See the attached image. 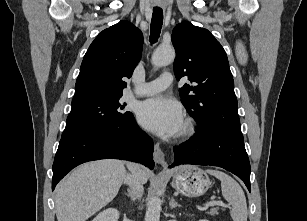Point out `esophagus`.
Returning <instances> with one entry per match:
<instances>
[{"label":"esophagus","mask_w":307,"mask_h":221,"mask_svg":"<svg viewBox=\"0 0 307 221\" xmlns=\"http://www.w3.org/2000/svg\"><path fill=\"white\" fill-rule=\"evenodd\" d=\"M153 158L155 163L160 164L163 167L167 166L164 153L162 152L159 143H156L154 146Z\"/></svg>","instance_id":"esophagus-1"}]
</instances>
